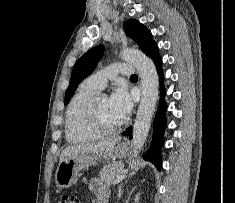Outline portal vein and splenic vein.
I'll return each instance as SVG.
<instances>
[{
	"label": "portal vein and splenic vein",
	"instance_id": "portal-vein-and-splenic-vein-1",
	"mask_svg": "<svg viewBox=\"0 0 235 203\" xmlns=\"http://www.w3.org/2000/svg\"><path fill=\"white\" fill-rule=\"evenodd\" d=\"M125 174L119 175L113 182V184H116L118 182H120L121 180H123L125 178Z\"/></svg>",
	"mask_w": 235,
	"mask_h": 203
}]
</instances>
